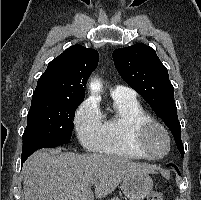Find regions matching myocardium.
Here are the masks:
<instances>
[{
  "mask_svg": "<svg viewBox=\"0 0 201 200\" xmlns=\"http://www.w3.org/2000/svg\"><path fill=\"white\" fill-rule=\"evenodd\" d=\"M151 127L159 128L165 135L167 140V150L164 154L160 156H152L149 154L146 145H145V134L147 130ZM131 138L134 146L144 155V157L148 160L159 161L166 158L171 149H172V138L168 129L159 121L152 118H145L140 121H137L131 130Z\"/></svg>",
  "mask_w": 201,
  "mask_h": 200,
  "instance_id": "myocardium-1",
  "label": "myocardium"
}]
</instances>
